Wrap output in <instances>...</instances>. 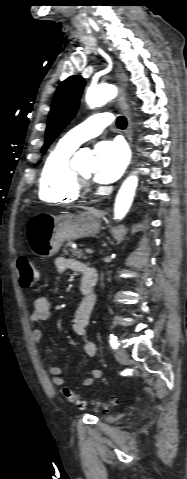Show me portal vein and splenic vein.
<instances>
[{"label": "portal vein and splenic vein", "mask_w": 187, "mask_h": 479, "mask_svg": "<svg viewBox=\"0 0 187 479\" xmlns=\"http://www.w3.org/2000/svg\"><path fill=\"white\" fill-rule=\"evenodd\" d=\"M85 252L88 253V254H92L93 250L92 249H85Z\"/></svg>", "instance_id": "1"}]
</instances>
